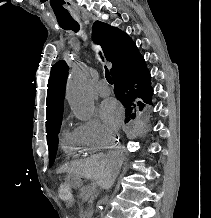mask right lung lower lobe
<instances>
[{"label":"right lung lower lobe","instance_id":"98d812e1","mask_svg":"<svg viewBox=\"0 0 211 218\" xmlns=\"http://www.w3.org/2000/svg\"><path fill=\"white\" fill-rule=\"evenodd\" d=\"M150 78L146 63L139 53L113 71L114 93L117 98L134 97L145 104H152Z\"/></svg>","mask_w":211,"mask_h":218}]
</instances>
